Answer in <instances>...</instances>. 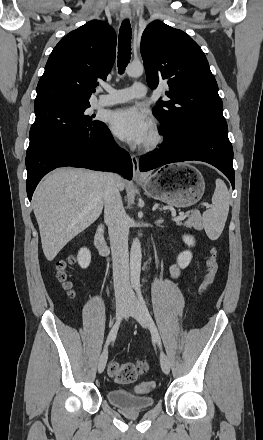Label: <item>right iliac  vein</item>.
<instances>
[{
  "mask_svg": "<svg viewBox=\"0 0 263 440\" xmlns=\"http://www.w3.org/2000/svg\"><path fill=\"white\" fill-rule=\"evenodd\" d=\"M127 306V299H118L116 302V318L119 320L121 319L126 310ZM108 359V350L104 349L102 354L100 355L99 361H98V372L102 373L105 369L106 363Z\"/></svg>",
  "mask_w": 263,
  "mask_h": 440,
  "instance_id": "63e3f726",
  "label": "right iliac vein"
}]
</instances>
